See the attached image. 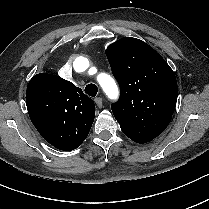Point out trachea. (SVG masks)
<instances>
[{"label":"trachea","mask_w":209,"mask_h":209,"mask_svg":"<svg viewBox=\"0 0 209 209\" xmlns=\"http://www.w3.org/2000/svg\"><path fill=\"white\" fill-rule=\"evenodd\" d=\"M98 88L95 84L90 83L85 87V93L91 97H95L97 95Z\"/></svg>","instance_id":"obj_1"}]
</instances>
